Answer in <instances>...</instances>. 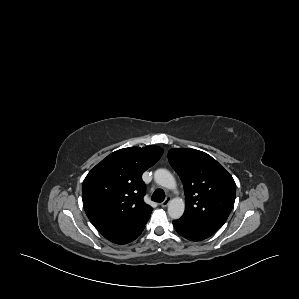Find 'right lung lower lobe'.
I'll list each match as a JSON object with an SVG mask.
<instances>
[{"label": "right lung lower lobe", "mask_w": 299, "mask_h": 299, "mask_svg": "<svg viewBox=\"0 0 299 299\" xmlns=\"http://www.w3.org/2000/svg\"><path fill=\"white\" fill-rule=\"evenodd\" d=\"M143 230H144V226L136 231L111 236L108 237L107 239L116 244H126L135 240L142 233Z\"/></svg>", "instance_id": "98d812e1"}]
</instances>
